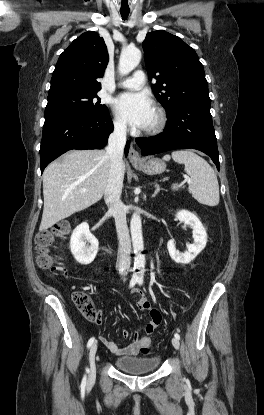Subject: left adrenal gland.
Masks as SVG:
<instances>
[{
    "instance_id": "obj_1",
    "label": "left adrenal gland",
    "mask_w": 264,
    "mask_h": 415,
    "mask_svg": "<svg viewBox=\"0 0 264 415\" xmlns=\"http://www.w3.org/2000/svg\"><path fill=\"white\" fill-rule=\"evenodd\" d=\"M154 187H155V191H154V194L152 195V197H155L158 194V192L160 190H162V188H160L159 184H155Z\"/></svg>"
}]
</instances>
